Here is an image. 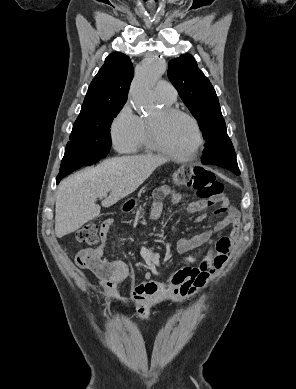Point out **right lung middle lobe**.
<instances>
[{"label":"right lung middle lobe","mask_w":296,"mask_h":389,"mask_svg":"<svg viewBox=\"0 0 296 389\" xmlns=\"http://www.w3.org/2000/svg\"><path fill=\"white\" fill-rule=\"evenodd\" d=\"M121 107L102 110L77 118L66 145L60 172L92 165L110 151V125Z\"/></svg>","instance_id":"dd1d6c3e"}]
</instances>
